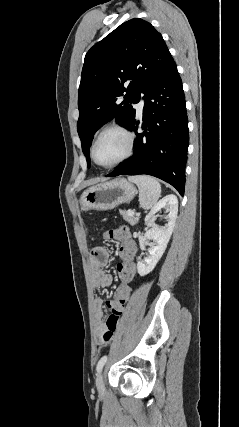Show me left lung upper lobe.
I'll return each instance as SVG.
<instances>
[{"label":"left lung upper lobe","mask_w":239,"mask_h":427,"mask_svg":"<svg viewBox=\"0 0 239 427\" xmlns=\"http://www.w3.org/2000/svg\"><path fill=\"white\" fill-rule=\"evenodd\" d=\"M173 63L161 34L139 18L124 22L90 48L81 74L77 124L88 167L94 133L114 117L128 128L136 116L132 104Z\"/></svg>","instance_id":"left-lung-upper-lobe-1"}]
</instances>
